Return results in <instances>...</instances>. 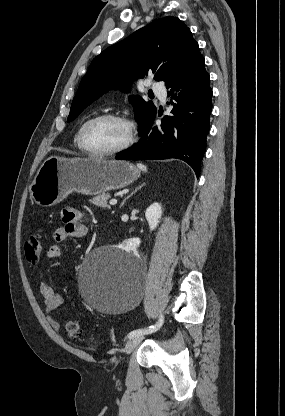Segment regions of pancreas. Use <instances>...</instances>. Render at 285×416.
Masks as SVG:
<instances>
[{
    "instance_id": "pancreas-1",
    "label": "pancreas",
    "mask_w": 285,
    "mask_h": 416,
    "mask_svg": "<svg viewBox=\"0 0 285 416\" xmlns=\"http://www.w3.org/2000/svg\"><path fill=\"white\" fill-rule=\"evenodd\" d=\"M110 198V194H102V196H95V198H92L89 202H92L94 206H100V208H110L107 204V200H110Z\"/></svg>"
}]
</instances>
